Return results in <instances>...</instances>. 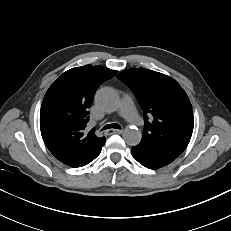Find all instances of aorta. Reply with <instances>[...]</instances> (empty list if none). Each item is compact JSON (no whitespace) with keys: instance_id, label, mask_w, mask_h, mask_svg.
Returning <instances> with one entry per match:
<instances>
[{"instance_id":"obj_1","label":"aorta","mask_w":231,"mask_h":231,"mask_svg":"<svg viewBox=\"0 0 231 231\" xmlns=\"http://www.w3.org/2000/svg\"><path fill=\"white\" fill-rule=\"evenodd\" d=\"M96 103L104 110L115 111L119 106V97L112 88H102L96 94ZM123 139L128 145L136 146L141 141V132L138 129L126 128Z\"/></svg>"}]
</instances>
